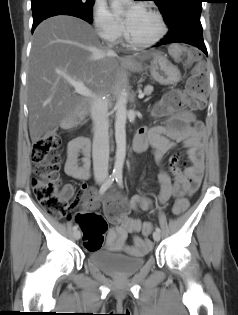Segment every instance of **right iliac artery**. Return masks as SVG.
<instances>
[{"instance_id":"82829eb1","label":"right iliac artery","mask_w":238,"mask_h":315,"mask_svg":"<svg viewBox=\"0 0 238 315\" xmlns=\"http://www.w3.org/2000/svg\"><path fill=\"white\" fill-rule=\"evenodd\" d=\"M117 177V174L116 173H112L109 178L105 181V183L100 187V190H99V193L100 194H103L107 189L108 187H110V185L114 182V180L116 179ZM78 229V225H75L73 227V230H77Z\"/></svg>"}]
</instances>
